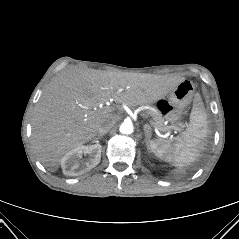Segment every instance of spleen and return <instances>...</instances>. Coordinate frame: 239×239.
Masks as SVG:
<instances>
[{
	"label": "spleen",
	"mask_w": 239,
	"mask_h": 239,
	"mask_svg": "<svg viewBox=\"0 0 239 239\" xmlns=\"http://www.w3.org/2000/svg\"><path fill=\"white\" fill-rule=\"evenodd\" d=\"M207 137V115L199 97L194 99L190 122L174 143L164 139L149 141V149L160 159L182 168L195 161Z\"/></svg>",
	"instance_id": "spleen-1"
}]
</instances>
